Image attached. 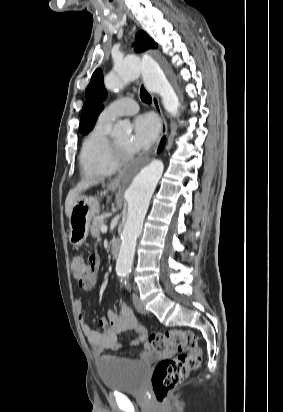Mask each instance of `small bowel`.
Masks as SVG:
<instances>
[{"label":"small bowel","mask_w":283,"mask_h":412,"mask_svg":"<svg viewBox=\"0 0 283 412\" xmlns=\"http://www.w3.org/2000/svg\"><path fill=\"white\" fill-rule=\"evenodd\" d=\"M97 265L99 267V258ZM97 282L96 275L92 273L89 277L79 282V285L84 290H91ZM74 306L80 321L81 329L92 346L94 356L99 361L115 359V356H106L105 351H117L127 345L119 340V335L125 332L132 331L135 333V339L130 345H135L140 342H145L148 337V330L144 328L135 317L132 309L123 301L118 303L119 312L112 310L108 311L105 317L98 319V325L103 331L94 330L86 321V315L83 311V303L80 299L74 301Z\"/></svg>","instance_id":"1"}]
</instances>
